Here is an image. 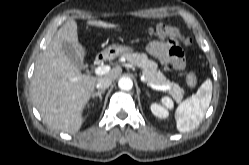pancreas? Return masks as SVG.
I'll list each match as a JSON object with an SVG mask.
<instances>
[{
  "mask_svg": "<svg viewBox=\"0 0 249 165\" xmlns=\"http://www.w3.org/2000/svg\"><path fill=\"white\" fill-rule=\"evenodd\" d=\"M122 57L132 65L142 69L145 82L148 85L155 84L169 86L170 88L165 91H167L177 102L182 100L184 94L183 89L178 84L171 83L168 79H166L163 73L157 70V64L154 61L149 60L146 54L125 53Z\"/></svg>",
  "mask_w": 249,
  "mask_h": 165,
  "instance_id": "cf45deb5",
  "label": "pancreas"
}]
</instances>
